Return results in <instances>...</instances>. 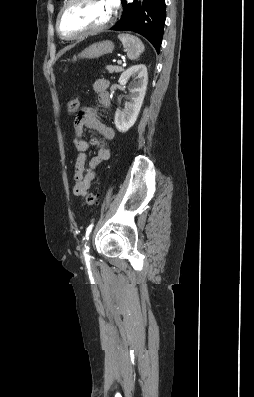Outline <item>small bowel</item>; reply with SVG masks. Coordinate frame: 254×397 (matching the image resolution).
I'll return each mask as SVG.
<instances>
[{
  "label": "small bowel",
  "instance_id": "c3829d8e",
  "mask_svg": "<svg viewBox=\"0 0 254 397\" xmlns=\"http://www.w3.org/2000/svg\"><path fill=\"white\" fill-rule=\"evenodd\" d=\"M108 87L109 82L104 78L97 79L93 84L99 103L104 108H109L111 105ZM86 128L97 131L103 139L94 137L90 141H86L83 136ZM74 129L73 145L79 154L75 162V184L72 192L75 196L84 197L96 176L97 169L110 158L111 149L107 141L113 139L114 130L99 120L97 110L91 105L84 106L78 113L74 121ZM90 146L97 147V154L91 158L87 165V151Z\"/></svg>",
  "mask_w": 254,
  "mask_h": 397
}]
</instances>
